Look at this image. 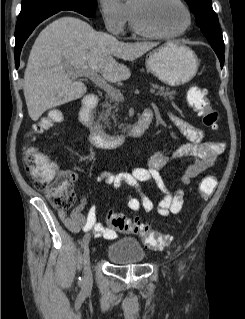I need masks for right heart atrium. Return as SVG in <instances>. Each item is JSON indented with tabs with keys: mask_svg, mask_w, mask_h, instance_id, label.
<instances>
[{
	"mask_svg": "<svg viewBox=\"0 0 245 319\" xmlns=\"http://www.w3.org/2000/svg\"><path fill=\"white\" fill-rule=\"evenodd\" d=\"M98 5L106 29L114 35L122 34L127 24L126 6L121 0H98Z\"/></svg>",
	"mask_w": 245,
	"mask_h": 319,
	"instance_id": "right-heart-atrium-1",
	"label": "right heart atrium"
}]
</instances>
